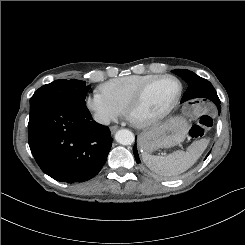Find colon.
Returning a JSON list of instances; mask_svg holds the SVG:
<instances>
[{"label":"colon","instance_id":"colon-1","mask_svg":"<svg viewBox=\"0 0 245 245\" xmlns=\"http://www.w3.org/2000/svg\"><path fill=\"white\" fill-rule=\"evenodd\" d=\"M212 125L213 120L209 115H199L198 121L191 127L189 131V136L192 139L201 138L207 133V131L212 127Z\"/></svg>","mask_w":245,"mask_h":245}]
</instances>
